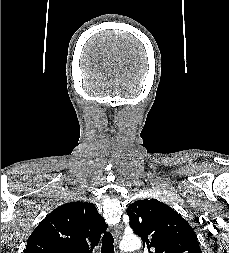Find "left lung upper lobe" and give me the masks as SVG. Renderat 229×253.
I'll return each mask as SVG.
<instances>
[{
	"label": "left lung upper lobe",
	"mask_w": 229,
	"mask_h": 253,
	"mask_svg": "<svg viewBox=\"0 0 229 253\" xmlns=\"http://www.w3.org/2000/svg\"><path fill=\"white\" fill-rule=\"evenodd\" d=\"M130 226L149 253H202L188 222L156 199L135 201L127 208Z\"/></svg>",
	"instance_id": "5c2ea615"
}]
</instances>
